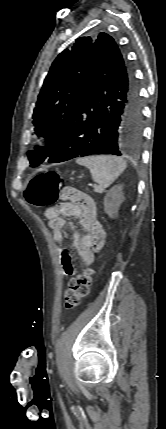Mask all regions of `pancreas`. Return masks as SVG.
<instances>
[{
	"label": "pancreas",
	"instance_id": "pancreas-1",
	"mask_svg": "<svg viewBox=\"0 0 166 429\" xmlns=\"http://www.w3.org/2000/svg\"><path fill=\"white\" fill-rule=\"evenodd\" d=\"M95 191L100 193L102 191V189L100 187H95Z\"/></svg>",
	"mask_w": 166,
	"mask_h": 429
}]
</instances>
